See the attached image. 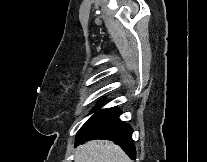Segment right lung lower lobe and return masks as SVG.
I'll return each mask as SVG.
<instances>
[{
  "label": "right lung lower lobe",
  "instance_id": "98d812e1",
  "mask_svg": "<svg viewBox=\"0 0 207 162\" xmlns=\"http://www.w3.org/2000/svg\"><path fill=\"white\" fill-rule=\"evenodd\" d=\"M120 114V110L115 107L96 112L77 133L76 146L88 140L107 139L114 141L132 160H135L136 150L132 140L133 130L130 125L119 119Z\"/></svg>",
  "mask_w": 207,
  "mask_h": 162
}]
</instances>
